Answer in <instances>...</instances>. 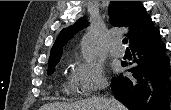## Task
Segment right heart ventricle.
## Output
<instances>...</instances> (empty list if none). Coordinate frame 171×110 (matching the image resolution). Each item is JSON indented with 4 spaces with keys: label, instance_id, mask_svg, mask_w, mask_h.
Returning <instances> with one entry per match:
<instances>
[{
    "label": "right heart ventricle",
    "instance_id": "e07e8e85",
    "mask_svg": "<svg viewBox=\"0 0 171 110\" xmlns=\"http://www.w3.org/2000/svg\"><path fill=\"white\" fill-rule=\"evenodd\" d=\"M63 89L67 94L71 95H75L80 92L77 84L71 77L65 82Z\"/></svg>",
    "mask_w": 171,
    "mask_h": 110
}]
</instances>
